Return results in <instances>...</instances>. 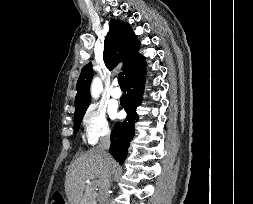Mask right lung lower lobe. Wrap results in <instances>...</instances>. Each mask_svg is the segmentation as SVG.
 Masks as SVG:
<instances>
[{
  "label": "right lung lower lobe",
  "instance_id": "right-lung-lower-lobe-1",
  "mask_svg": "<svg viewBox=\"0 0 253 204\" xmlns=\"http://www.w3.org/2000/svg\"><path fill=\"white\" fill-rule=\"evenodd\" d=\"M145 58L125 77L127 94L121 97V106L127 112L126 119L116 123L111 133L110 154L122 164L126 159L130 141L134 135V124L138 119L136 107L141 102V94L144 88Z\"/></svg>",
  "mask_w": 253,
  "mask_h": 204
}]
</instances>
